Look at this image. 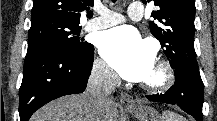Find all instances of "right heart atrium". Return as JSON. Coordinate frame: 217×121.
I'll list each match as a JSON object with an SVG mask.
<instances>
[{"mask_svg":"<svg viewBox=\"0 0 217 121\" xmlns=\"http://www.w3.org/2000/svg\"><path fill=\"white\" fill-rule=\"evenodd\" d=\"M94 76L102 82L114 83L116 76L107 64L100 58H96L93 64Z\"/></svg>","mask_w":217,"mask_h":121,"instance_id":"obj_1","label":"right heart atrium"}]
</instances>
